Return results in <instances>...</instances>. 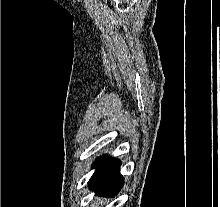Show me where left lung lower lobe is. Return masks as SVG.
<instances>
[{"label":"left lung lower lobe","instance_id":"left-lung-lower-lobe-1","mask_svg":"<svg viewBox=\"0 0 220 207\" xmlns=\"http://www.w3.org/2000/svg\"><path fill=\"white\" fill-rule=\"evenodd\" d=\"M120 160L101 157L96 160V170L89 180L90 189L98 196H114L123 186L119 173Z\"/></svg>","mask_w":220,"mask_h":207}]
</instances>
